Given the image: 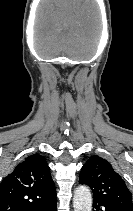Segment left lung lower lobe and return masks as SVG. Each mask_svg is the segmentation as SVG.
Wrapping results in <instances>:
<instances>
[{"label": "left lung lower lobe", "instance_id": "left-lung-lower-lobe-1", "mask_svg": "<svg viewBox=\"0 0 133 211\" xmlns=\"http://www.w3.org/2000/svg\"><path fill=\"white\" fill-rule=\"evenodd\" d=\"M93 208L95 209L94 211H120L115 208H110V207L104 206L103 204H101L99 202H95V201L93 203Z\"/></svg>", "mask_w": 133, "mask_h": 211}]
</instances>
